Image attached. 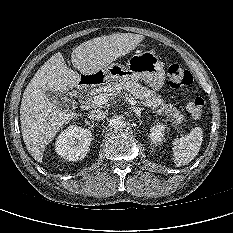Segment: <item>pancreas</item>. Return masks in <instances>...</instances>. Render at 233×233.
Wrapping results in <instances>:
<instances>
[{"label": "pancreas", "mask_w": 233, "mask_h": 233, "mask_svg": "<svg viewBox=\"0 0 233 233\" xmlns=\"http://www.w3.org/2000/svg\"><path fill=\"white\" fill-rule=\"evenodd\" d=\"M122 91H129L132 96L139 99L140 102L153 110H156L158 115H164L167 121H170L173 126L182 123L184 116L180 114V110L172 104H167L159 94L153 90L144 87L135 81L126 82H109L106 85L100 86L99 92H106L111 94L120 93ZM159 108V109H158Z\"/></svg>", "instance_id": "pancreas-1"}]
</instances>
